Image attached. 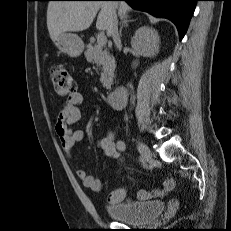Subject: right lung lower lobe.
Listing matches in <instances>:
<instances>
[{
  "mask_svg": "<svg viewBox=\"0 0 231 231\" xmlns=\"http://www.w3.org/2000/svg\"><path fill=\"white\" fill-rule=\"evenodd\" d=\"M99 1V0H91ZM132 8L146 11L157 17L170 19L177 27L180 40L184 37L198 0H118Z\"/></svg>",
  "mask_w": 231,
  "mask_h": 231,
  "instance_id": "obj_1",
  "label": "right lung lower lobe"
}]
</instances>
